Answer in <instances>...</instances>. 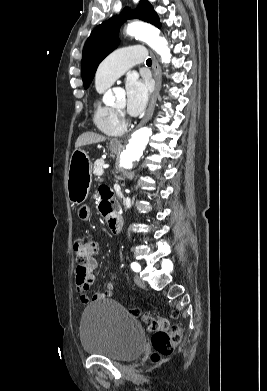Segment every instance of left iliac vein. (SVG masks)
I'll return each mask as SVG.
<instances>
[{
  "label": "left iliac vein",
  "instance_id": "left-iliac-vein-1",
  "mask_svg": "<svg viewBox=\"0 0 267 391\" xmlns=\"http://www.w3.org/2000/svg\"><path fill=\"white\" fill-rule=\"evenodd\" d=\"M134 281H135L136 285H138L139 287H141V288L145 287L144 280L138 274H136L134 276Z\"/></svg>",
  "mask_w": 267,
  "mask_h": 391
}]
</instances>
